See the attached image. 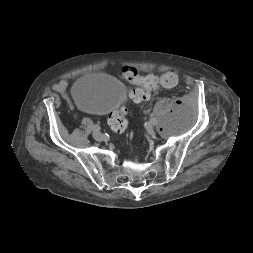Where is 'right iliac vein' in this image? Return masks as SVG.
I'll use <instances>...</instances> for the list:
<instances>
[{
  "label": "right iliac vein",
  "instance_id": "1",
  "mask_svg": "<svg viewBox=\"0 0 253 253\" xmlns=\"http://www.w3.org/2000/svg\"><path fill=\"white\" fill-rule=\"evenodd\" d=\"M93 137H94L95 139H97V140H101V139H102V134H101V132H100L99 130H95V131L93 132Z\"/></svg>",
  "mask_w": 253,
  "mask_h": 253
}]
</instances>
